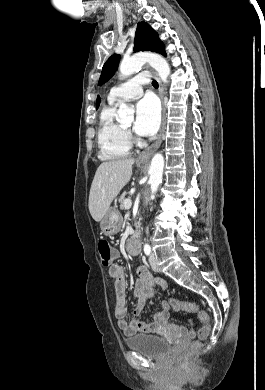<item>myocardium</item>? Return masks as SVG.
Segmentation results:
<instances>
[{
    "instance_id": "1",
    "label": "myocardium",
    "mask_w": 265,
    "mask_h": 390,
    "mask_svg": "<svg viewBox=\"0 0 265 390\" xmlns=\"http://www.w3.org/2000/svg\"><path fill=\"white\" fill-rule=\"evenodd\" d=\"M124 130H125V132H126L127 134H129V133H130V130H129V129H127V128H124Z\"/></svg>"
}]
</instances>
